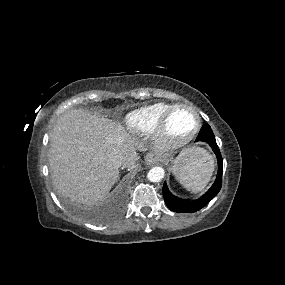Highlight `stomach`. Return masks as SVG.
Returning a JSON list of instances; mask_svg holds the SVG:
<instances>
[{"label":"stomach","instance_id":"0dacf381","mask_svg":"<svg viewBox=\"0 0 285 285\" xmlns=\"http://www.w3.org/2000/svg\"><path fill=\"white\" fill-rule=\"evenodd\" d=\"M180 160V156L176 158L175 163H177Z\"/></svg>","mask_w":285,"mask_h":285}]
</instances>
